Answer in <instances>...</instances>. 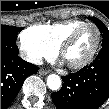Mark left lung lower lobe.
<instances>
[{"label":"left lung lower lobe","instance_id":"left-lung-lower-lobe-1","mask_svg":"<svg viewBox=\"0 0 109 109\" xmlns=\"http://www.w3.org/2000/svg\"><path fill=\"white\" fill-rule=\"evenodd\" d=\"M62 80V88L51 94L58 109L99 108L109 98V46L90 65Z\"/></svg>","mask_w":109,"mask_h":109}]
</instances>
